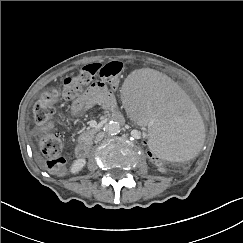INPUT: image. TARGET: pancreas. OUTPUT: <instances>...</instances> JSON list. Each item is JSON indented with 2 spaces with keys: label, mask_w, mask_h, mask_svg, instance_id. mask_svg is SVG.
<instances>
[{
  "label": "pancreas",
  "mask_w": 243,
  "mask_h": 243,
  "mask_svg": "<svg viewBox=\"0 0 243 243\" xmlns=\"http://www.w3.org/2000/svg\"><path fill=\"white\" fill-rule=\"evenodd\" d=\"M95 133H96L95 129H91L87 132H84L79 136L78 141L79 142L90 141L95 135Z\"/></svg>",
  "instance_id": "pancreas-1"
}]
</instances>
